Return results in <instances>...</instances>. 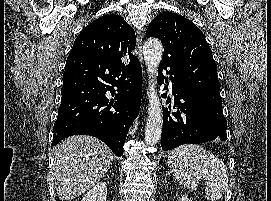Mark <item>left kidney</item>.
I'll return each instance as SVG.
<instances>
[{"label": "left kidney", "instance_id": "left-kidney-1", "mask_svg": "<svg viewBox=\"0 0 271 201\" xmlns=\"http://www.w3.org/2000/svg\"><path fill=\"white\" fill-rule=\"evenodd\" d=\"M180 201H191V200H189V199L187 198V196H182V197L180 198Z\"/></svg>", "mask_w": 271, "mask_h": 201}]
</instances>
